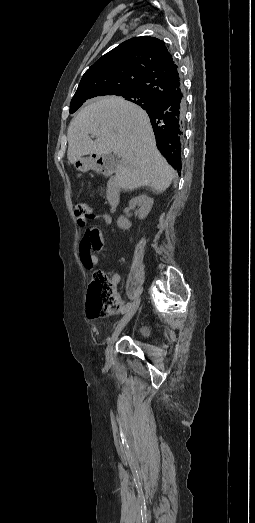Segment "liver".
<instances>
[{"label": "liver", "instance_id": "6515ba94", "mask_svg": "<svg viewBox=\"0 0 255 523\" xmlns=\"http://www.w3.org/2000/svg\"><path fill=\"white\" fill-rule=\"evenodd\" d=\"M67 138L70 164L87 154H119L123 166H118L116 178L123 190L151 186L165 192L174 178L173 168L157 150L148 114L123 98L86 102L70 122Z\"/></svg>", "mask_w": 255, "mask_h": 523}]
</instances>
